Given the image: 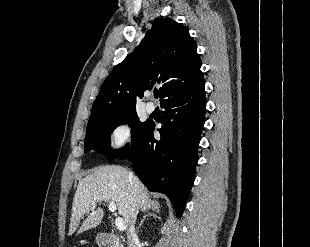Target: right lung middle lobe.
Here are the masks:
<instances>
[{"label":"right lung middle lobe","instance_id":"1","mask_svg":"<svg viewBox=\"0 0 310 247\" xmlns=\"http://www.w3.org/2000/svg\"><path fill=\"white\" fill-rule=\"evenodd\" d=\"M122 124H128L132 127L131 144H133L148 122H140L136 110L100 117L88 123L84 140L85 152L92 149L96 150L106 154L108 160H114L121 156L129 148V144L116 151H108L107 147L110 145V134L117 126Z\"/></svg>","mask_w":310,"mask_h":247}]
</instances>
